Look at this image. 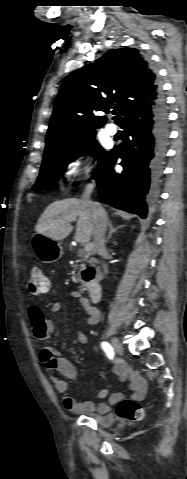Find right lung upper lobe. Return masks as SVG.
I'll return each instance as SVG.
<instances>
[{
  "instance_id": "right-lung-upper-lobe-1",
  "label": "right lung upper lobe",
  "mask_w": 187,
  "mask_h": 479,
  "mask_svg": "<svg viewBox=\"0 0 187 479\" xmlns=\"http://www.w3.org/2000/svg\"><path fill=\"white\" fill-rule=\"evenodd\" d=\"M161 93L155 72L135 48L110 51L63 81L55 101L45 150L72 144L107 121L97 116L117 108L116 122L138 107L150 106Z\"/></svg>"
}]
</instances>
